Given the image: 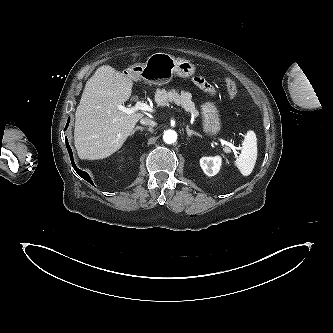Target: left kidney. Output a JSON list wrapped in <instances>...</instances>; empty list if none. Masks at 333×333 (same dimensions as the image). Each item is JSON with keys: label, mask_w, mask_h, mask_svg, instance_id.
<instances>
[{"label": "left kidney", "mask_w": 333, "mask_h": 333, "mask_svg": "<svg viewBox=\"0 0 333 333\" xmlns=\"http://www.w3.org/2000/svg\"><path fill=\"white\" fill-rule=\"evenodd\" d=\"M221 163L222 159L220 156L202 157L200 159V166L207 176L216 175L220 170Z\"/></svg>", "instance_id": "obj_1"}]
</instances>
